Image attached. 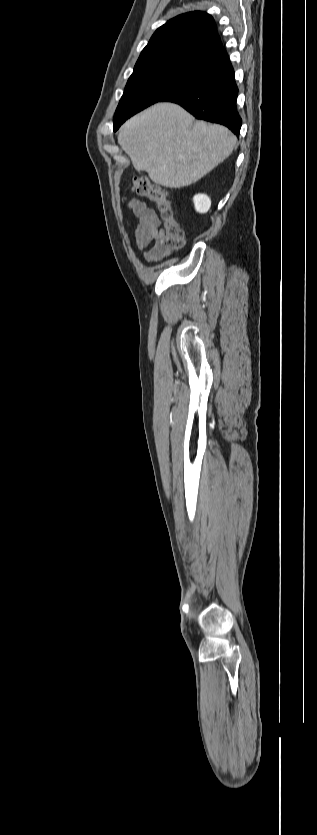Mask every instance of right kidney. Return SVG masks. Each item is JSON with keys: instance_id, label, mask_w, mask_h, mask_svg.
I'll list each match as a JSON object with an SVG mask.
<instances>
[{"instance_id": "ca27d5eb", "label": "right kidney", "mask_w": 317, "mask_h": 835, "mask_svg": "<svg viewBox=\"0 0 317 835\" xmlns=\"http://www.w3.org/2000/svg\"><path fill=\"white\" fill-rule=\"evenodd\" d=\"M193 202L195 210L200 214L206 213L211 207V200L206 194H196Z\"/></svg>"}]
</instances>
